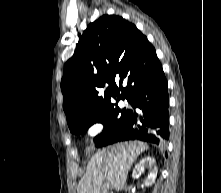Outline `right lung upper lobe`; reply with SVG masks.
Returning <instances> with one entry per match:
<instances>
[{"label": "right lung upper lobe", "mask_w": 221, "mask_h": 193, "mask_svg": "<svg viewBox=\"0 0 221 193\" xmlns=\"http://www.w3.org/2000/svg\"><path fill=\"white\" fill-rule=\"evenodd\" d=\"M158 62L147 37L122 17L103 15L90 23L66 62L61 80L69 127L77 118L107 107L116 97L130 98Z\"/></svg>", "instance_id": "right-lung-upper-lobe-1"}]
</instances>
